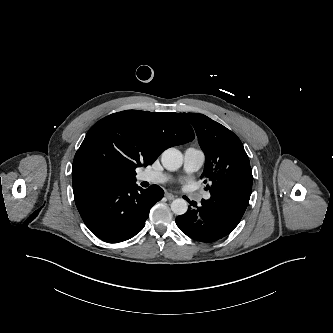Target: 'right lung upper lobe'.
Instances as JSON below:
<instances>
[{
    "label": "right lung upper lobe",
    "instance_id": "cb5924a9",
    "mask_svg": "<svg viewBox=\"0 0 333 333\" xmlns=\"http://www.w3.org/2000/svg\"><path fill=\"white\" fill-rule=\"evenodd\" d=\"M190 124L178 113L127 110L93 125L77 150L73 186L90 180L135 183L136 168L152 164L168 147L194 139Z\"/></svg>",
    "mask_w": 333,
    "mask_h": 333
}]
</instances>
